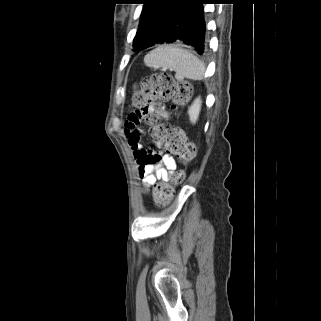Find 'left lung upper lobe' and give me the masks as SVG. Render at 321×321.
<instances>
[{"label":"left lung upper lobe","mask_w":321,"mask_h":321,"mask_svg":"<svg viewBox=\"0 0 321 321\" xmlns=\"http://www.w3.org/2000/svg\"><path fill=\"white\" fill-rule=\"evenodd\" d=\"M179 0H141L144 4L139 27L134 38L135 51L158 44L165 27Z\"/></svg>","instance_id":"5c2ea615"}]
</instances>
